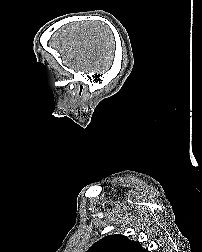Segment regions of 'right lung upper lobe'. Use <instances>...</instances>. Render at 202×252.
<instances>
[{"mask_svg": "<svg viewBox=\"0 0 202 252\" xmlns=\"http://www.w3.org/2000/svg\"><path fill=\"white\" fill-rule=\"evenodd\" d=\"M87 252H148L135 241L121 234L107 236L96 242Z\"/></svg>", "mask_w": 202, "mask_h": 252, "instance_id": "right-lung-upper-lobe-1", "label": "right lung upper lobe"}]
</instances>
